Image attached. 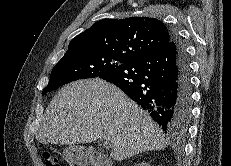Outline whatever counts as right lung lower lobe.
<instances>
[{
    "instance_id": "1",
    "label": "right lung lower lobe",
    "mask_w": 231,
    "mask_h": 166,
    "mask_svg": "<svg viewBox=\"0 0 231 166\" xmlns=\"http://www.w3.org/2000/svg\"><path fill=\"white\" fill-rule=\"evenodd\" d=\"M123 90L158 123L165 133L187 131L191 117L192 88L185 48L172 32L161 50L129 61L98 76Z\"/></svg>"
}]
</instances>
